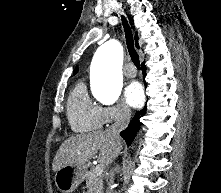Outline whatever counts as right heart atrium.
Instances as JSON below:
<instances>
[{"instance_id": "d8ad5b80", "label": "right heart atrium", "mask_w": 221, "mask_h": 193, "mask_svg": "<svg viewBox=\"0 0 221 193\" xmlns=\"http://www.w3.org/2000/svg\"><path fill=\"white\" fill-rule=\"evenodd\" d=\"M130 109L122 103L103 107V124L109 125L114 122L123 121L130 117Z\"/></svg>"}]
</instances>
